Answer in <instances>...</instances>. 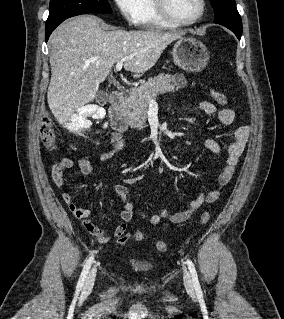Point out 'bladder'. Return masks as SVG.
Listing matches in <instances>:
<instances>
[{"label": "bladder", "instance_id": "31cf9c89", "mask_svg": "<svg viewBox=\"0 0 284 319\" xmlns=\"http://www.w3.org/2000/svg\"><path fill=\"white\" fill-rule=\"evenodd\" d=\"M130 265L138 272H146L151 269V264L144 260L133 259L130 261Z\"/></svg>", "mask_w": 284, "mask_h": 319}]
</instances>
